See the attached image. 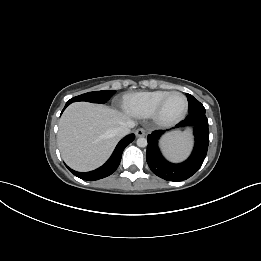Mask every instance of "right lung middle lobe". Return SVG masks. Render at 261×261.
Masks as SVG:
<instances>
[{"instance_id": "right-lung-middle-lobe-1", "label": "right lung middle lobe", "mask_w": 261, "mask_h": 261, "mask_svg": "<svg viewBox=\"0 0 261 261\" xmlns=\"http://www.w3.org/2000/svg\"><path fill=\"white\" fill-rule=\"evenodd\" d=\"M115 93V90H103V91H94L85 93L79 96H76L68 101V103L76 101H87L92 103H105L107 102L112 95Z\"/></svg>"}]
</instances>
